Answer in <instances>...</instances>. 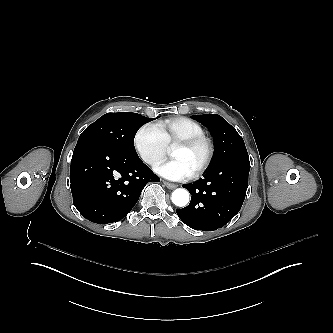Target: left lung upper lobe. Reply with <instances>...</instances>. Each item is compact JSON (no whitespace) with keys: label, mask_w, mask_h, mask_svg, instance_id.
Wrapping results in <instances>:
<instances>
[{"label":"left lung upper lobe","mask_w":333,"mask_h":333,"mask_svg":"<svg viewBox=\"0 0 333 333\" xmlns=\"http://www.w3.org/2000/svg\"><path fill=\"white\" fill-rule=\"evenodd\" d=\"M207 127L215 143V157L210 168L216 167L225 160L239 155H248L243 138L225 119L217 114L193 115Z\"/></svg>","instance_id":"obj_1"}]
</instances>
